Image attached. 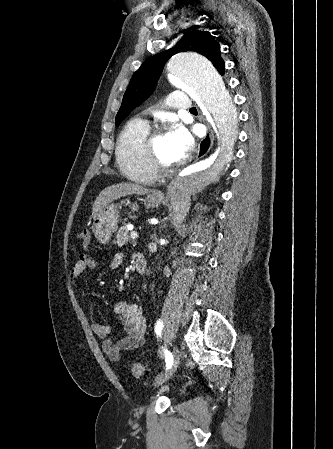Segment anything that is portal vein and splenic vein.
I'll return each instance as SVG.
<instances>
[{
  "label": "portal vein and splenic vein",
  "instance_id": "portal-vein-and-splenic-vein-1",
  "mask_svg": "<svg viewBox=\"0 0 333 449\" xmlns=\"http://www.w3.org/2000/svg\"><path fill=\"white\" fill-rule=\"evenodd\" d=\"M138 233L136 232V231H132L131 233H130V237L132 238V239H136V238H138Z\"/></svg>",
  "mask_w": 333,
  "mask_h": 449
}]
</instances>
